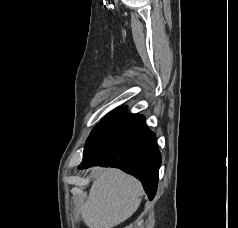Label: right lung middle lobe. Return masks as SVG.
<instances>
[{
  "mask_svg": "<svg viewBox=\"0 0 238 228\" xmlns=\"http://www.w3.org/2000/svg\"><path fill=\"white\" fill-rule=\"evenodd\" d=\"M118 118H120V117L113 116V117H106L105 119H103L100 124H98L94 127V129L92 130L91 134L89 135V137L87 139V143L91 139H93L99 132H101L105 127H107L110 123H112L113 121H115Z\"/></svg>",
  "mask_w": 238,
  "mask_h": 228,
  "instance_id": "dd1d6c3e",
  "label": "right lung middle lobe"
}]
</instances>
